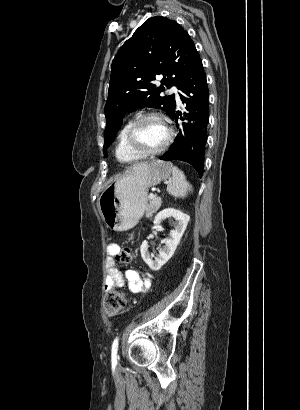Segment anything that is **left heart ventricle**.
<instances>
[{"instance_id": "obj_1", "label": "left heart ventricle", "mask_w": 300, "mask_h": 410, "mask_svg": "<svg viewBox=\"0 0 300 410\" xmlns=\"http://www.w3.org/2000/svg\"><path fill=\"white\" fill-rule=\"evenodd\" d=\"M167 131L157 119H148L140 124L136 131V139L144 150L159 148L166 140Z\"/></svg>"}]
</instances>
